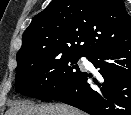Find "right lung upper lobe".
<instances>
[{
	"mask_svg": "<svg viewBox=\"0 0 131 115\" xmlns=\"http://www.w3.org/2000/svg\"><path fill=\"white\" fill-rule=\"evenodd\" d=\"M129 45L131 17L122 0H53L23 33L16 70L52 54L89 58Z\"/></svg>",
	"mask_w": 131,
	"mask_h": 115,
	"instance_id": "cb5924a9",
	"label": "right lung upper lobe"
}]
</instances>
